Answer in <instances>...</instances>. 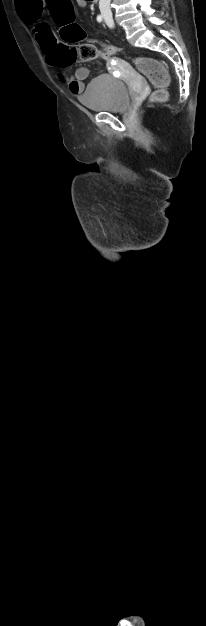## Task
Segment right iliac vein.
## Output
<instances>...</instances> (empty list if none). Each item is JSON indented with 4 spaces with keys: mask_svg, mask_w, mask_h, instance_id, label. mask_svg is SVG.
<instances>
[{
    "mask_svg": "<svg viewBox=\"0 0 206 626\" xmlns=\"http://www.w3.org/2000/svg\"><path fill=\"white\" fill-rule=\"evenodd\" d=\"M107 20H108V21H112V19H109V18H108Z\"/></svg>",
    "mask_w": 206,
    "mask_h": 626,
    "instance_id": "63e3f726",
    "label": "right iliac vein"
}]
</instances>
